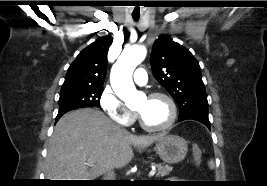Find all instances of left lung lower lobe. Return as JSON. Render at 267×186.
Segmentation results:
<instances>
[{
    "label": "left lung lower lobe",
    "instance_id": "0a47b994",
    "mask_svg": "<svg viewBox=\"0 0 267 186\" xmlns=\"http://www.w3.org/2000/svg\"><path fill=\"white\" fill-rule=\"evenodd\" d=\"M188 119L199 121V122H201L202 124H204L205 126H207L210 129V122H209L208 118L188 117V118H182V119H179V120L183 121V120H188Z\"/></svg>",
    "mask_w": 267,
    "mask_h": 186
}]
</instances>
